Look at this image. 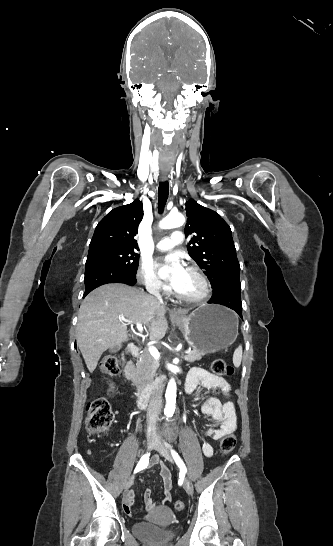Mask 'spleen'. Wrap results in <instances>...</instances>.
I'll use <instances>...</instances> for the list:
<instances>
[{"label": "spleen", "mask_w": 333, "mask_h": 546, "mask_svg": "<svg viewBox=\"0 0 333 546\" xmlns=\"http://www.w3.org/2000/svg\"><path fill=\"white\" fill-rule=\"evenodd\" d=\"M242 360V347L239 346L235 349L233 354V364L235 367H239L241 365Z\"/></svg>", "instance_id": "spleen-1"}]
</instances>
